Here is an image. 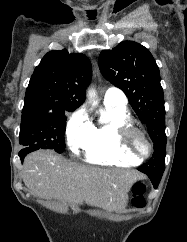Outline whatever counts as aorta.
Masks as SVG:
<instances>
[{"mask_svg":"<svg viewBox=\"0 0 187 242\" xmlns=\"http://www.w3.org/2000/svg\"><path fill=\"white\" fill-rule=\"evenodd\" d=\"M87 99L92 104V106L98 105L97 93L93 87H89L87 90Z\"/></svg>","mask_w":187,"mask_h":242,"instance_id":"1","label":"aorta"}]
</instances>
